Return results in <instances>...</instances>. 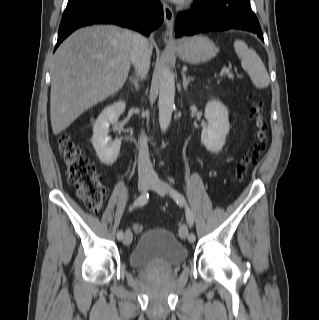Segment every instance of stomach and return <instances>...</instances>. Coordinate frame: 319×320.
Wrapping results in <instances>:
<instances>
[{
	"label": "stomach",
	"mask_w": 319,
	"mask_h": 320,
	"mask_svg": "<svg viewBox=\"0 0 319 320\" xmlns=\"http://www.w3.org/2000/svg\"><path fill=\"white\" fill-rule=\"evenodd\" d=\"M177 54L190 64H201L213 59L217 54L215 43L204 35H195L178 42Z\"/></svg>",
	"instance_id": "1"
}]
</instances>
